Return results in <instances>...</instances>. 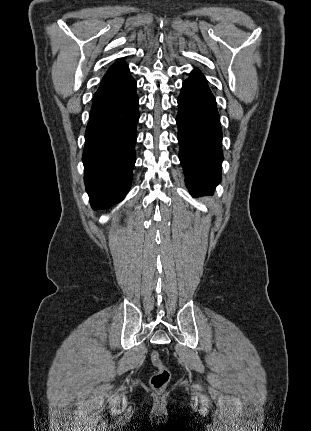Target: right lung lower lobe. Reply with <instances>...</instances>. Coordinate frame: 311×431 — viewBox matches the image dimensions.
Masks as SVG:
<instances>
[{"label":"right lung lower lobe","instance_id":"98d812e1","mask_svg":"<svg viewBox=\"0 0 311 431\" xmlns=\"http://www.w3.org/2000/svg\"><path fill=\"white\" fill-rule=\"evenodd\" d=\"M136 87L127 68L104 76L94 95L82 160L95 209L120 202L130 189L139 119Z\"/></svg>","mask_w":311,"mask_h":431}]
</instances>
